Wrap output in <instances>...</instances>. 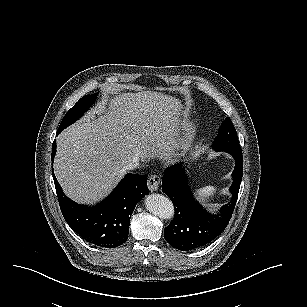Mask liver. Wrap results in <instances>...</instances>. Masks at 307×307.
<instances>
[{
	"label": "liver",
	"mask_w": 307,
	"mask_h": 307,
	"mask_svg": "<svg viewBox=\"0 0 307 307\" xmlns=\"http://www.w3.org/2000/svg\"><path fill=\"white\" fill-rule=\"evenodd\" d=\"M190 124L191 113L172 95L147 89L102 95L56 137L54 175L67 198L93 207L113 192L130 163L179 161L180 133Z\"/></svg>",
	"instance_id": "liver-1"
}]
</instances>
